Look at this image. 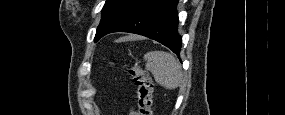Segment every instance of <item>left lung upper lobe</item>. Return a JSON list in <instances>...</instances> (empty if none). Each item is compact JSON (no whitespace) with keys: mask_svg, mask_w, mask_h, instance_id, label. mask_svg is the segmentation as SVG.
Masks as SVG:
<instances>
[{"mask_svg":"<svg viewBox=\"0 0 285 115\" xmlns=\"http://www.w3.org/2000/svg\"><path fill=\"white\" fill-rule=\"evenodd\" d=\"M130 0H106L105 5L102 9V18L101 22L97 28L95 35V42H97L103 32L107 24L110 20L129 2Z\"/></svg>","mask_w":285,"mask_h":115,"instance_id":"5c2ea615","label":"left lung upper lobe"}]
</instances>
